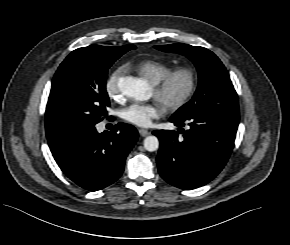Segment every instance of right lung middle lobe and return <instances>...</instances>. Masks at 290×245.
Masks as SVG:
<instances>
[{"mask_svg":"<svg viewBox=\"0 0 290 245\" xmlns=\"http://www.w3.org/2000/svg\"><path fill=\"white\" fill-rule=\"evenodd\" d=\"M135 47L115 50L79 48L56 71L47 102L45 122L60 128L97 124L110 106L106 78L110 66Z\"/></svg>","mask_w":290,"mask_h":245,"instance_id":"obj_1","label":"right lung middle lobe"}]
</instances>
